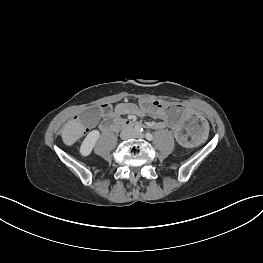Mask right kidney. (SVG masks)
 <instances>
[{
  "mask_svg": "<svg viewBox=\"0 0 263 263\" xmlns=\"http://www.w3.org/2000/svg\"><path fill=\"white\" fill-rule=\"evenodd\" d=\"M100 137V132L98 130L91 131L84 139L80 147V154L82 156H88L92 152L98 138Z\"/></svg>",
  "mask_w": 263,
  "mask_h": 263,
  "instance_id": "obj_1",
  "label": "right kidney"
}]
</instances>
